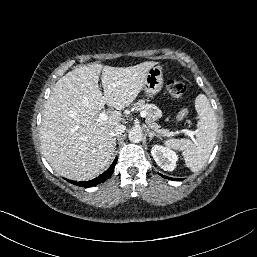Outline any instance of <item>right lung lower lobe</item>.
Listing matches in <instances>:
<instances>
[{
  "label": "right lung lower lobe",
  "mask_w": 257,
  "mask_h": 257,
  "mask_svg": "<svg viewBox=\"0 0 257 257\" xmlns=\"http://www.w3.org/2000/svg\"><path fill=\"white\" fill-rule=\"evenodd\" d=\"M117 162V157L115 158L114 162L111 164V166L100 176L96 177L93 180L90 181H85V182H76V181H71V180H67L70 183L74 184V185H78L81 187H91V186H95L97 184H100L102 182H104L105 180H107L113 173L114 171V167L116 165Z\"/></svg>",
  "instance_id": "right-lung-lower-lobe-1"
}]
</instances>
